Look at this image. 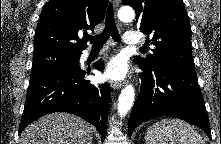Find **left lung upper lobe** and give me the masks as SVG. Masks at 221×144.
Returning a JSON list of instances; mask_svg holds the SVG:
<instances>
[{"label":"left lung upper lobe","instance_id":"5c2ea615","mask_svg":"<svg viewBox=\"0 0 221 144\" xmlns=\"http://www.w3.org/2000/svg\"><path fill=\"white\" fill-rule=\"evenodd\" d=\"M136 12L140 31L156 46L134 61L143 66H174L196 72L190 51L191 27L182 0H122ZM150 37V39H149Z\"/></svg>","mask_w":221,"mask_h":144}]
</instances>
